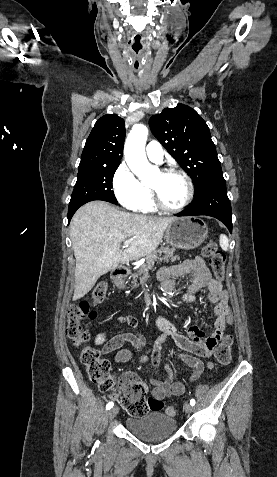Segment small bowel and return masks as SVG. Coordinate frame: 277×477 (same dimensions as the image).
I'll return each instance as SVG.
<instances>
[{
  "instance_id": "obj_1",
  "label": "small bowel",
  "mask_w": 277,
  "mask_h": 477,
  "mask_svg": "<svg viewBox=\"0 0 277 477\" xmlns=\"http://www.w3.org/2000/svg\"><path fill=\"white\" fill-rule=\"evenodd\" d=\"M192 274L193 280L189 285L187 292L183 295L182 300L186 304H192L195 301V295L201 289L208 290V299L216 303L214 307V314L216 320L214 323V332L210 336H205V333L197 326H191L187 334H180L176 327L170 323L165 317L157 319V326L162 331V334L154 343L150 356L142 355L138 361L140 363L151 362L153 367L157 368L161 362V348L168 337H171L177 347L181 350L178 353V358L193 369L190 380H196L204 371L205 365L199 357L209 358L217 342L223 337L226 330L225 315L226 311L230 310L228 305V293L223 289L220 280L211 275L209 268L201 257H196L193 260H186L178 264L164 266L158 273L159 280L162 282L166 290H171L175 285V279L185 274ZM128 324L132 329H135L137 322L130 316H120L116 322L104 332L99 333L94 340L95 345H103L102 353L109 354L118 350L115 356L117 364L126 363L133 357V352L129 349H121L125 343H130L134 350L140 352L146 346V340L143 336L135 331L116 334L107 340L109 331L115 330L122 324ZM208 368L213 367V363L207 364ZM167 378L165 380L151 379L150 383L153 386L152 397L163 400L164 398L180 396L185 391V386L179 381H174V371L170 366H165ZM140 381V377L133 372H126L121 377L122 383H131Z\"/></svg>"
}]
</instances>
